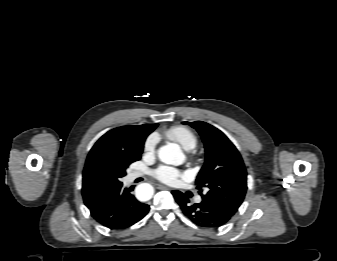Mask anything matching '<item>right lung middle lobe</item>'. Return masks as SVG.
<instances>
[{"label": "right lung middle lobe", "instance_id": "dd1d6c3e", "mask_svg": "<svg viewBox=\"0 0 337 261\" xmlns=\"http://www.w3.org/2000/svg\"><path fill=\"white\" fill-rule=\"evenodd\" d=\"M140 159H116L109 155L97 157L87 171V180L91 187L98 191L108 192L118 186L120 179L126 175L128 166Z\"/></svg>", "mask_w": 337, "mask_h": 261}]
</instances>
